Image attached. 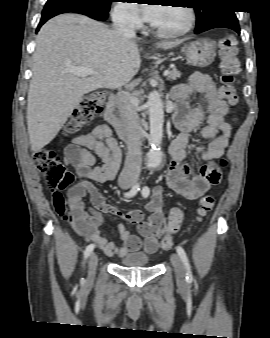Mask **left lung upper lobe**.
Returning <instances> with one entry per match:
<instances>
[{
  "mask_svg": "<svg viewBox=\"0 0 270 338\" xmlns=\"http://www.w3.org/2000/svg\"><path fill=\"white\" fill-rule=\"evenodd\" d=\"M229 0H195L199 5L195 7L197 23L195 31L200 32L206 29L212 22L225 17L229 14H235L233 10L227 7Z\"/></svg>",
  "mask_w": 270,
  "mask_h": 338,
  "instance_id": "obj_1",
  "label": "left lung upper lobe"
}]
</instances>
